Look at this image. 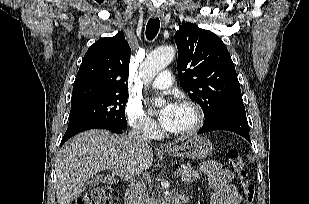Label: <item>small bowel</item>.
I'll return each mask as SVG.
<instances>
[{
	"instance_id": "1",
	"label": "small bowel",
	"mask_w": 309,
	"mask_h": 204,
	"mask_svg": "<svg viewBox=\"0 0 309 204\" xmlns=\"http://www.w3.org/2000/svg\"><path fill=\"white\" fill-rule=\"evenodd\" d=\"M207 175L209 184L213 189L211 204H240L242 196L232 183L233 173L231 170L222 168L215 161H206L202 166Z\"/></svg>"
}]
</instances>
